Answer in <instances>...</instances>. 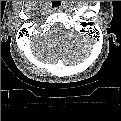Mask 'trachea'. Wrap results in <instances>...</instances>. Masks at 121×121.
I'll return each instance as SVG.
<instances>
[{
    "label": "trachea",
    "mask_w": 121,
    "mask_h": 121,
    "mask_svg": "<svg viewBox=\"0 0 121 121\" xmlns=\"http://www.w3.org/2000/svg\"><path fill=\"white\" fill-rule=\"evenodd\" d=\"M55 6H56V7H57V6L59 7V5H58V4H55Z\"/></svg>",
    "instance_id": "3493384b"
}]
</instances>
